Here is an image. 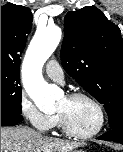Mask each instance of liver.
Returning a JSON list of instances; mask_svg holds the SVG:
<instances>
[{"mask_svg":"<svg viewBox=\"0 0 123 152\" xmlns=\"http://www.w3.org/2000/svg\"><path fill=\"white\" fill-rule=\"evenodd\" d=\"M77 142L45 137L27 127H1V152H72Z\"/></svg>","mask_w":123,"mask_h":152,"instance_id":"obj_1","label":"liver"}]
</instances>
